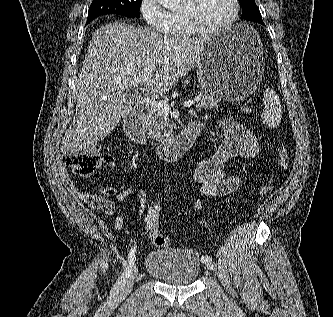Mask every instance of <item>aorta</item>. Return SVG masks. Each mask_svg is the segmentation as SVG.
<instances>
[{"label":"aorta","mask_w":333,"mask_h":317,"mask_svg":"<svg viewBox=\"0 0 333 317\" xmlns=\"http://www.w3.org/2000/svg\"><path fill=\"white\" fill-rule=\"evenodd\" d=\"M160 5L167 9H174L178 7L182 0H157Z\"/></svg>","instance_id":"aorta-1"}]
</instances>
